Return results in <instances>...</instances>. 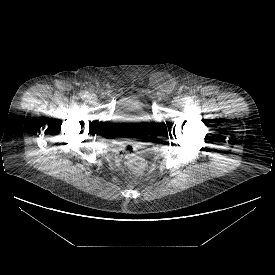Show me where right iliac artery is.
<instances>
[{
    "instance_id": "1",
    "label": "right iliac artery",
    "mask_w": 275,
    "mask_h": 275,
    "mask_svg": "<svg viewBox=\"0 0 275 275\" xmlns=\"http://www.w3.org/2000/svg\"><path fill=\"white\" fill-rule=\"evenodd\" d=\"M88 97V92H82L81 93V98H86Z\"/></svg>"
}]
</instances>
